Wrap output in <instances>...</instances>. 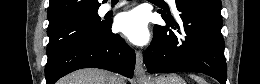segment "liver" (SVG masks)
Returning <instances> with one entry per match:
<instances>
[{
    "instance_id": "liver-1",
    "label": "liver",
    "mask_w": 260,
    "mask_h": 84,
    "mask_svg": "<svg viewBox=\"0 0 260 84\" xmlns=\"http://www.w3.org/2000/svg\"><path fill=\"white\" fill-rule=\"evenodd\" d=\"M120 77L101 69H81L64 78L58 84H119Z\"/></svg>"
}]
</instances>
